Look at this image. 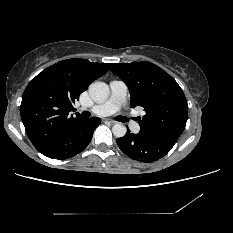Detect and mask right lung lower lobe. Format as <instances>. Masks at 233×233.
I'll use <instances>...</instances> for the list:
<instances>
[{
    "label": "right lung lower lobe",
    "mask_w": 233,
    "mask_h": 233,
    "mask_svg": "<svg viewBox=\"0 0 233 233\" xmlns=\"http://www.w3.org/2000/svg\"><path fill=\"white\" fill-rule=\"evenodd\" d=\"M100 123L101 120L98 117L82 118L36 149L52 159H68L88 146L94 130Z\"/></svg>",
    "instance_id": "98d812e1"
}]
</instances>
